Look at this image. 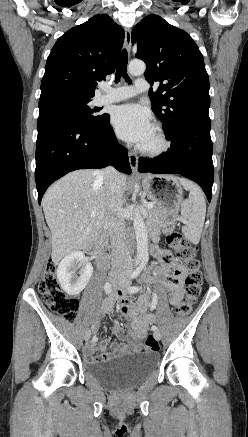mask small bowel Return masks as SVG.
<instances>
[{"instance_id":"obj_1","label":"small bowel","mask_w":248,"mask_h":437,"mask_svg":"<svg viewBox=\"0 0 248 437\" xmlns=\"http://www.w3.org/2000/svg\"><path fill=\"white\" fill-rule=\"evenodd\" d=\"M157 250L158 253L155 256L161 263V268L150 269L145 275V280H159L165 289L169 291L170 303L173 306H178L183 297V278L186 274V269L183 265L173 260L169 251ZM115 300L118 301L124 312L128 311V299L122 291L116 290L103 301L105 312L111 311ZM148 307L149 298L143 296L139 299L137 307L130 311L133 320L131 324V339L128 342L124 341L122 327L117 322H114L111 330L119 342L109 345L106 340H101L96 346L95 342L91 341L85 347L86 358L92 362H99L111 359L121 353L138 351L141 345L140 341L146 336L149 324L154 321V315L147 312Z\"/></svg>"}]
</instances>
